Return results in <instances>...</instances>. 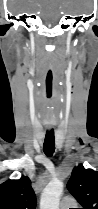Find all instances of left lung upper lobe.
I'll list each match as a JSON object with an SVG mask.
<instances>
[{
	"label": "left lung upper lobe",
	"instance_id": "left-lung-upper-lobe-1",
	"mask_svg": "<svg viewBox=\"0 0 98 209\" xmlns=\"http://www.w3.org/2000/svg\"><path fill=\"white\" fill-rule=\"evenodd\" d=\"M69 192L81 204L82 209H98V172L75 167L67 183Z\"/></svg>",
	"mask_w": 98,
	"mask_h": 209
}]
</instances>
